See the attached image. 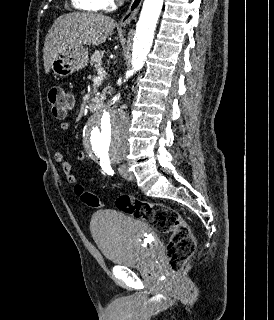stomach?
<instances>
[{"label":"stomach","mask_w":274,"mask_h":320,"mask_svg":"<svg viewBox=\"0 0 274 320\" xmlns=\"http://www.w3.org/2000/svg\"><path fill=\"white\" fill-rule=\"evenodd\" d=\"M89 60L87 48H66L59 52L57 58H54L51 64V70L58 78H66L73 72H78L86 68Z\"/></svg>","instance_id":"stomach-1"}]
</instances>
